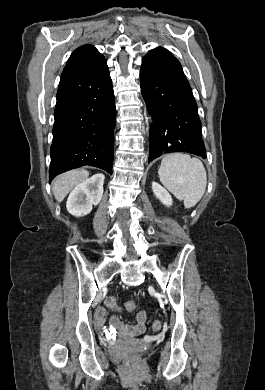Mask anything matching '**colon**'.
Instances as JSON below:
<instances>
[{"mask_svg": "<svg viewBox=\"0 0 265 390\" xmlns=\"http://www.w3.org/2000/svg\"><path fill=\"white\" fill-rule=\"evenodd\" d=\"M105 304L108 308L112 309V310H115V311H118L120 309L119 307V304H118V300L116 297L114 296H110V297H107L106 300H105ZM126 309L129 311V312H133L137 309V304L135 301H128L126 303ZM161 322L159 320H155L153 323H152V329L155 330V331H158L161 329Z\"/></svg>", "mask_w": 265, "mask_h": 390, "instance_id": "5ec220e1", "label": "colon"}]
</instances>
